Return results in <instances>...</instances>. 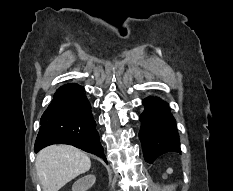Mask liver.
<instances>
[{"mask_svg": "<svg viewBox=\"0 0 233 191\" xmlns=\"http://www.w3.org/2000/svg\"><path fill=\"white\" fill-rule=\"evenodd\" d=\"M90 167L88 155L69 145L48 146L37 154L35 161L43 191H58Z\"/></svg>", "mask_w": 233, "mask_h": 191, "instance_id": "6515ba94", "label": "liver"}]
</instances>
